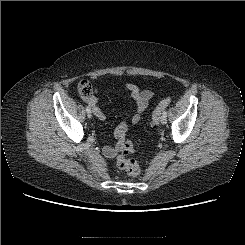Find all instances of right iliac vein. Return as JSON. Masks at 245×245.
<instances>
[{
	"label": "right iliac vein",
	"mask_w": 245,
	"mask_h": 245,
	"mask_svg": "<svg viewBox=\"0 0 245 245\" xmlns=\"http://www.w3.org/2000/svg\"><path fill=\"white\" fill-rule=\"evenodd\" d=\"M87 117H88V118H91V117H92L91 112H87Z\"/></svg>",
	"instance_id": "63e3f726"
}]
</instances>
